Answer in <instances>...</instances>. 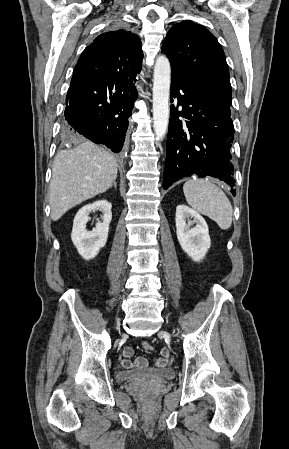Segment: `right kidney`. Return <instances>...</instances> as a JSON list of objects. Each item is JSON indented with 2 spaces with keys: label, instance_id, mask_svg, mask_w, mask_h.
I'll use <instances>...</instances> for the list:
<instances>
[{
  "label": "right kidney",
  "instance_id": "right-kidney-1",
  "mask_svg": "<svg viewBox=\"0 0 289 449\" xmlns=\"http://www.w3.org/2000/svg\"><path fill=\"white\" fill-rule=\"evenodd\" d=\"M111 208L110 202L100 200L85 205L77 212L73 222L71 239L77 251L85 260L96 257L100 249L106 245L109 224L112 219ZM97 210L103 213V222H97L95 229L87 231L86 223L90 219L89 214Z\"/></svg>",
  "mask_w": 289,
  "mask_h": 449
}]
</instances>
